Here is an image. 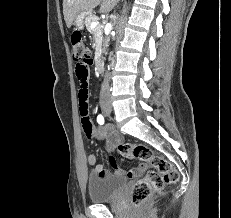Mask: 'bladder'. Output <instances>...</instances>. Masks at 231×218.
Returning <instances> with one entry per match:
<instances>
[{"label":"bladder","instance_id":"obj_1","mask_svg":"<svg viewBox=\"0 0 231 218\" xmlns=\"http://www.w3.org/2000/svg\"><path fill=\"white\" fill-rule=\"evenodd\" d=\"M126 179L118 176L90 175L87 182L89 200L103 203L118 197L126 186Z\"/></svg>","mask_w":231,"mask_h":218}]
</instances>
